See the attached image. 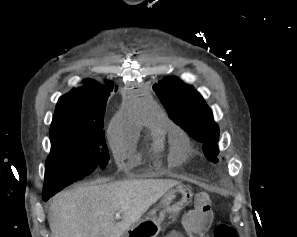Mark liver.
Segmentation results:
<instances>
[{
	"label": "liver",
	"instance_id": "6515ba94",
	"mask_svg": "<svg viewBox=\"0 0 297 237\" xmlns=\"http://www.w3.org/2000/svg\"><path fill=\"white\" fill-rule=\"evenodd\" d=\"M176 180L144 179L79 185L56 196L49 216L52 237H121ZM120 212V222L114 214Z\"/></svg>",
	"mask_w": 297,
	"mask_h": 237
}]
</instances>
